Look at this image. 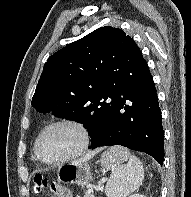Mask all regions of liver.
Returning <instances> with one entry per match:
<instances>
[{
  "label": "liver",
  "mask_w": 191,
  "mask_h": 197,
  "mask_svg": "<svg viewBox=\"0 0 191 197\" xmlns=\"http://www.w3.org/2000/svg\"><path fill=\"white\" fill-rule=\"evenodd\" d=\"M98 151L92 152L84 157H81L80 159L76 160L73 162V164H79V163H83V162H87L88 160H90Z\"/></svg>",
  "instance_id": "obj_1"
}]
</instances>
